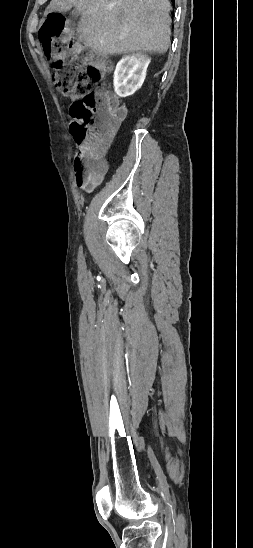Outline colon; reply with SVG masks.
<instances>
[{
	"label": "colon",
	"mask_w": 253,
	"mask_h": 548,
	"mask_svg": "<svg viewBox=\"0 0 253 548\" xmlns=\"http://www.w3.org/2000/svg\"><path fill=\"white\" fill-rule=\"evenodd\" d=\"M65 35L63 14L50 13L40 29V40L53 66L55 88L75 99L70 107L71 132L79 144L74 170L81 185L104 173L102 155L124 116V109L109 91L92 89V84L101 83L108 66L63 40Z\"/></svg>",
	"instance_id": "obj_1"
}]
</instances>
